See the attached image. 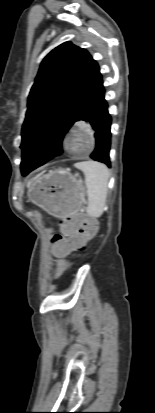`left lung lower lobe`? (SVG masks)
I'll list each match as a JSON object with an SVG mask.
<instances>
[{
	"instance_id": "0a47b994",
	"label": "left lung lower lobe",
	"mask_w": 155,
	"mask_h": 413,
	"mask_svg": "<svg viewBox=\"0 0 155 413\" xmlns=\"http://www.w3.org/2000/svg\"><path fill=\"white\" fill-rule=\"evenodd\" d=\"M104 94L105 91L103 81L101 79L95 91L91 94V96L83 105L78 115V119L79 121L87 122L95 138L96 148L94 152L91 154V158H93L96 161L105 163L108 167H110L111 164L109 159V150L111 137V117L107 110V103L104 98ZM64 135L65 134L59 135L54 143L57 145L62 144V139ZM61 153L62 148H60V150L53 157ZM28 173H25L23 175L25 176Z\"/></svg>"
}]
</instances>
